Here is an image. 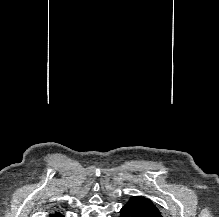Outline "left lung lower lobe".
Listing matches in <instances>:
<instances>
[{
    "label": "left lung lower lobe",
    "mask_w": 219,
    "mask_h": 217,
    "mask_svg": "<svg viewBox=\"0 0 219 217\" xmlns=\"http://www.w3.org/2000/svg\"><path fill=\"white\" fill-rule=\"evenodd\" d=\"M120 217H153L145 213L137 204L128 202L120 210Z\"/></svg>",
    "instance_id": "0a47b994"
}]
</instances>
